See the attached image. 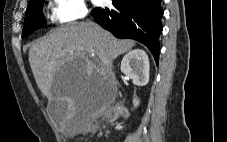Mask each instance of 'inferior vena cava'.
<instances>
[{
    "label": "inferior vena cava",
    "instance_id": "inferior-vena-cava-1",
    "mask_svg": "<svg viewBox=\"0 0 227 142\" xmlns=\"http://www.w3.org/2000/svg\"><path fill=\"white\" fill-rule=\"evenodd\" d=\"M87 24H88L89 26H91V27H95V26H96V24H94V23L91 22V21H88Z\"/></svg>",
    "mask_w": 227,
    "mask_h": 142
}]
</instances>
